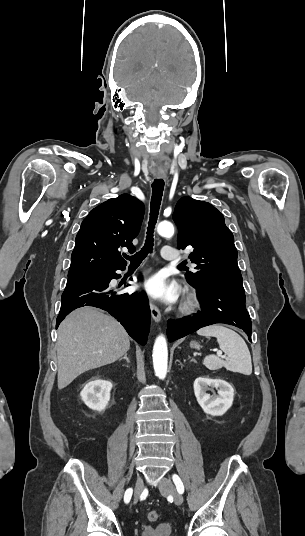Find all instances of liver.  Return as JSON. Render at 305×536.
<instances>
[{"label": "liver", "instance_id": "obj_1", "mask_svg": "<svg viewBox=\"0 0 305 536\" xmlns=\"http://www.w3.org/2000/svg\"><path fill=\"white\" fill-rule=\"evenodd\" d=\"M130 348L123 326L97 308L74 310L58 328V390L77 376L125 356Z\"/></svg>", "mask_w": 305, "mask_h": 536}]
</instances>
